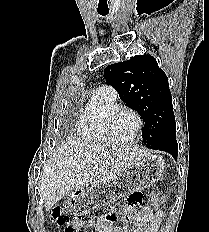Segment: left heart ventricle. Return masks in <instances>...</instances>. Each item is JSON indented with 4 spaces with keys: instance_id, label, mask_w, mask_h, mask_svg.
Returning <instances> with one entry per match:
<instances>
[{
    "instance_id": "b2bd125f",
    "label": "left heart ventricle",
    "mask_w": 209,
    "mask_h": 232,
    "mask_svg": "<svg viewBox=\"0 0 209 232\" xmlns=\"http://www.w3.org/2000/svg\"><path fill=\"white\" fill-rule=\"evenodd\" d=\"M136 126V119L131 113L121 112L112 122V132L118 139H127L134 133Z\"/></svg>"
}]
</instances>
